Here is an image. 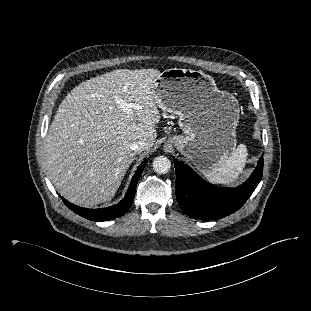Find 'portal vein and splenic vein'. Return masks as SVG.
I'll return each instance as SVG.
<instances>
[{
  "instance_id": "obj_1",
  "label": "portal vein and splenic vein",
  "mask_w": 311,
  "mask_h": 311,
  "mask_svg": "<svg viewBox=\"0 0 311 311\" xmlns=\"http://www.w3.org/2000/svg\"><path fill=\"white\" fill-rule=\"evenodd\" d=\"M117 103L120 105V107L124 110V111H130L131 108L137 109L138 106L132 103H126L124 100L122 99H118Z\"/></svg>"
}]
</instances>
